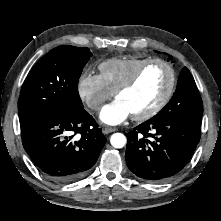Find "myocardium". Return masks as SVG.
I'll use <instances>...</instances> for the list:
<instances>
[{
	"label": "myocardium",
	"instance_id": "f54148a6",
	"mask_svg": "<svg viewBox=\"0 0 221 221\" xmlns=\"http://www.w3.org/2000/svg\"><path fill=\"white\" fill-rule=\"evenodd\" d=\"M159 64L166 68L169 74V82L165 92L159 98V100L148 110L140 113L132 115V118L136 121H145L151 119L152 117L156 116L168 103L170 98L172 97L175 87H176V73L174 68L169 64L167 61L162 59H148L144 63H142L133 73L132 75L125 80L121 85H119L116 90L114 91V95L117 98L121 93L125 92L132 86H134L137 81L139 80L142 73L151 65Z\"/></svg>",
	"mask_w": 221,
	"mask_h": 221
}]
</instances>
